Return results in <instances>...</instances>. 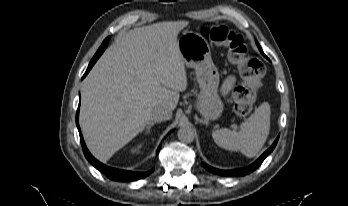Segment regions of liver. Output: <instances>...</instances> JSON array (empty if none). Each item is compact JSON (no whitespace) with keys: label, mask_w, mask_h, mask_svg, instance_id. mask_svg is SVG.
<instances>
[{"label":"liver","mask_w":348,"mask_h":206,"mask_svg":"<svg viewBox=\"0 0 348 206\" xmlns=\"http://www.w3.org/2000/svg\"><path fill=\"white\" fill-rule=\"evenodd\" d=\"M188 24L159 22L124 33L84 79L79 120L98 160L106 162L142 132L154 108H176L188 85L177 36Z\"/></svg>","instance_id":"6515ba94"}]
</instances>
